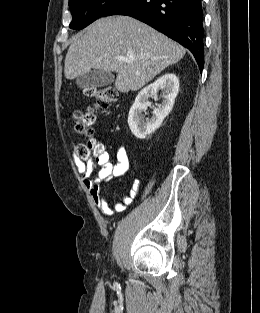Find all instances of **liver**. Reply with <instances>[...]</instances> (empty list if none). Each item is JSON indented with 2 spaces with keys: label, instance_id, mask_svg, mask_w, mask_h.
Instances as JSON below:
<instances>
[{
  "label": "liver",
  "instance_id": "1",
  "mask_svg": "<svg viewBox=\"0 0 260 313\" xmlns=\"http://www.w3.org/2000/svg\"><path fill=\"white\" fill-rule=\"evenodd\" d=\"M186 50L166 35L128 16L98 19L76 35L67 51L64 75L75 79L92 69L116 72L115 88L137 91ZM133 56L127 63L119 58Z\"/></svg>",
  "mask_w": 260,
  "mask_h": 313
}]
</instances>
